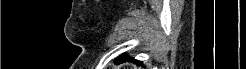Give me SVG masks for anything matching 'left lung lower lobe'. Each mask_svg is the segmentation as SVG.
<instances>
[{"label": "left lung lower lobe", "instance_id": "obj_1", "mask_svg": "<svg viewBox=\"0 0 246 69\" xmlns=\"http://www.w3.org/2000/svg\"><path fill=\"white\" fill-rule=\"evenodd\" d=\"M124 61L133 62V63H136L137 65H143L140 61L134 60V59L130 58L129 56H126V54H122L121 56H119L115 59L116 63H123Z\"/></svg>", "mask_w": 246, "mask_h": 69}]
</instances>
